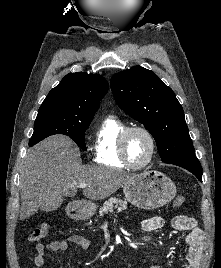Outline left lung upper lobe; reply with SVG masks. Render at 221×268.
Instances as JSON below:
<instances>
[{"mask_svg":"<svg viewBox=\"0 0 221 268\" xmlns=\"http://www.w3.org/2000/svg\"><path fill=\"white\" fill-rule=\"evenodd\" d=\"M110 85L118 106L154 137L162 162L195 157L182 106L154 72L134 66L116 73Z\"/></svg>","mask_w":221,"mask_h":268,"instance_id":"5c2ea615","label":"left lung upper lobe"}]
</instances>
